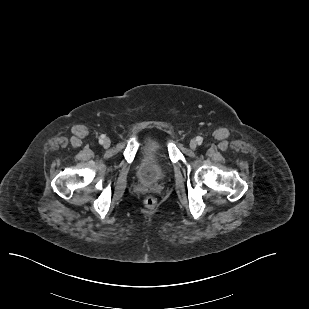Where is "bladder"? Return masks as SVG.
<instances>
[{"instance_id":"31cf9c89","label":"bladder","mask_w":309,"mask_h":309,"mask_svg":"<svg viewBox=\"0 0 309 309\" xmlns=\"http://www.w3.org/2000/svg\"><path fill=\"white\" fill-rule=\"evenodd\" d=\"M169 166L163 156L161 144L153 138L145 141L142 155L137 166V177L145 183H153L163 179Z\"/></svg>"}]
</instances>
